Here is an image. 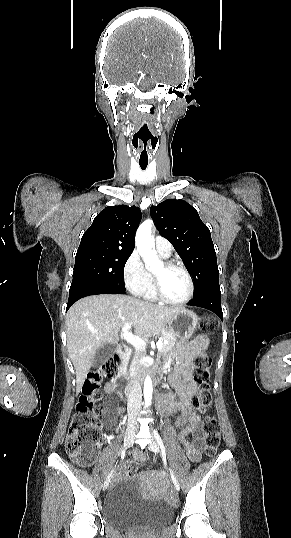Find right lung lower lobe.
I'll use <instances>...</instances> for the list:
<instances>
[{
	"instance_id": "right-lung-lower-lobe-1",
	"label": "right lung lower lobe",
	"mask_w": 291,
	"mask_h": 538,
	"mask_svg": "<svg viewBox=\"0 0 291 538\" xmlns=\"http://www.w3.org/2000/svg\"><path fill=\"white\" fill-rule=\"evenodd\" d=\"M125 290L106 287H83L69 291V299L66 311L79 299L97 294H125Z\"/></svg>"
}]
</instances>
